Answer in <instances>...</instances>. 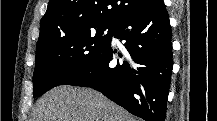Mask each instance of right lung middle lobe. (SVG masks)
I'll use <instances>...</instances> for the list:
<instances>
[{"mask_svg": "<svg viewBox=\"0 0 217 121\" xmlns=\"http://www.w3.org/2000/svg\"><path fill=\"white\" fill-rule=\"evenodd\" d=\"M116 24L84 26L67 36L36 48L34 97L69 84L85 73L104 53Z\"/></svg>", "mask_w": 217, "mask_h": 121, "instance_id": "obj_1", "label": "right lung middle lobe"}]
</instances>
